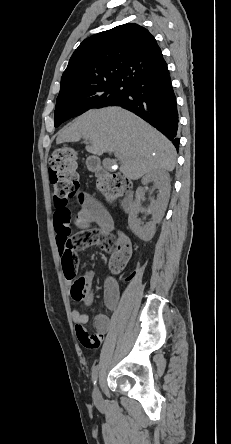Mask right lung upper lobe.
Instances as JSON below:
<instances>
[{"label":"right lung upper lobe","instance_id":"cb5924a9","mask_svg":"<svg viewBox=\"0 0 231 444\" xmlns=\"http://www.w3.org/2000/svg\"><path fill=\"white\" fill-rule=\"evenodd\" d=\"M167 68L153 35L136 23L85 39L61 78L60 93L104 84L133 82Z\"/></svg>","mask_w":231,"mask_h":444}]
</instances>
